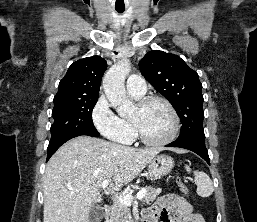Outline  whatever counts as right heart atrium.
Here are the masks:
<instances>
[{
  "instance_id": "obj_1",
  "label": "right heart atrium",
  "mask_w": 257,
  "mask_h": 222,
  "mask_svg": "<svg viewBox=\"0 0 257 222\" xmlns=\"http://www.w3.org/2000/svg\"><path fill=\"white\" fill-rule=\"evenodd\" d=\"M109 109V104L104 96L100 97L94 110H93V122L97 130L106 138L120 142V143H129L133 136V128L130 124L124 122L117 116H114L115 125L111 127H102L96 121V110L98 108Z\"/></svg>"
}]
</instances>
